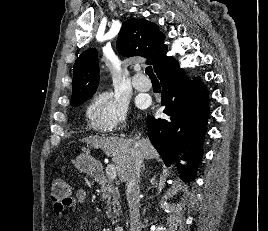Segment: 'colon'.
<instances>
[{
    "label": "colon",
    "mask_w": 268,
    "mask_h": 231,
    "mask_svg": "<svg viewBox=\"0 0 268 231\" xmlns=\"http://www.w3.org/2000/svg\"><path fill=\"white\" fill-rule=\"evenodd\" d=\"M50 195L54 202L64 208L71 201L70 187L63 178H56L52 181L50 187Z\"/></svg>",
    "instance_id": "obj_1"
}]
</instances>
